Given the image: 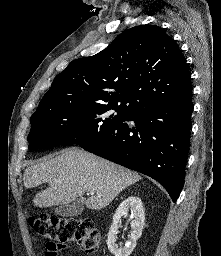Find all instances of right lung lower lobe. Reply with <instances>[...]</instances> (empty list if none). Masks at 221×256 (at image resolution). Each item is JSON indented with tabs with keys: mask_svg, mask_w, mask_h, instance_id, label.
I'll return each instance as SVG.
<instances>
[{
	"mask_svg": "<svg viewBox=\"0 0 221 256\" xmlns=\"http://www.w3.org/2000/svg\"><path fill=\"white\" fill-rule=\"evenodd\" d=\"M192 94L175 102L156 103L80 145L100 157L160 182L173 202L184 184L190 146Z\"/></svg>",
	"mask_w": 221,
	"mask_h": 256,
	"instance_id": "right-lung-lower-lobe-1",
	"label": "right lung lower lobe"
}]
</instances>
